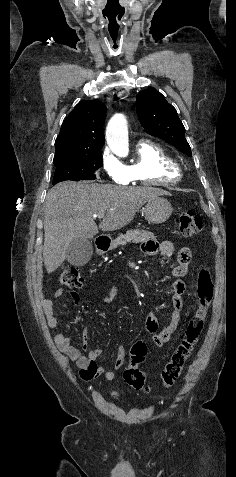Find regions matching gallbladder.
I'll list each match as a JSON object with an SVG mask.
<instances>
[{
  "mask_svg": "<svg viewBox=\"0 0 236 477\" xmlns=\"http://www.w3.org/2000/svg\"><path fill=\"white\" fill-rule=\"evenodd\" d=\"M93 247L89 239H74L67 248L66 259L74 266L85 265L92 257Z\"/></svg>",
  "mask_w": 236,
  "mask_h": 477,
  "instance_id": "obj_1",
  "label": "gallbladder"
}]
</instances>
